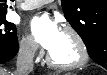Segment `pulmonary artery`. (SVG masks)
I'll list each match as a JSON object with an SVG mask.
<instances>
[{"label":"pulmonary artery","instance_id":"obj_1","mask_svg":"<svg viewBox=\"0 0 107 75\" xmlns=\"http://www.w3.org/2000/svg\"><path fill=\"white\" fill-rule=\"evenodd\" d=\"M49 2H52V0H25L22 4V8L24 10H32L41 7Z\"/></svg>","mask_w":107,"mask_h":75}]
</instances>
